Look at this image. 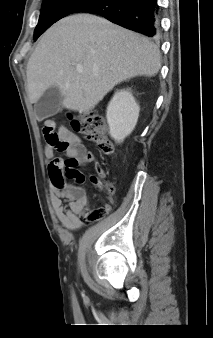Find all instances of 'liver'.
<instances>
[{
  "mask_svg": "<svg viewBox=\"0 0 213 338\" xmlns=\"http://www.w3.org/2000/svg\"><path fill=\"white\" fill-rule=\"evenodd\" d=\"M160 68L159 47L148 38L94 15H71L52 25L30 56L28 96L36 103L57 86L64 108L86 114L115 85Z\"/></svg>",
  "mask_w": 213,
  "mask_h": 338,
  "instance_id": "6515ba94",
  "label": "liver"
}]
</instances>
